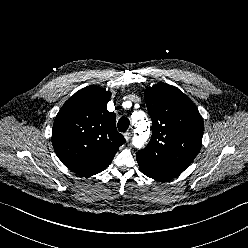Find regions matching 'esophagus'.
<instances>
[{"label": "esophagus", "mask_w": 248, "mask_h": 248, "mask_svg": "<svg viewBox=\"0 0 248 248\" xmlns=\"http://www.w3.org/2000/svg\"><path fill=\"white\" fill-rule=\"evenodd\" d=\"M124 138L126 139V141H129L131 139V133L130 132H125L123 134Z\"/></svg>", "instance_id": "esophagus-1"}]
</instances>
